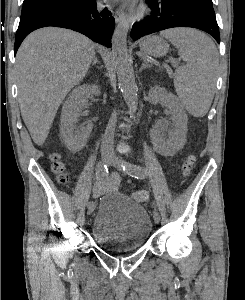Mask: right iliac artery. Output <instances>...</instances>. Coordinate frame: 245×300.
Returning <instances> with one entry per match:
<instances>
[{
    "label": "right iliac artery",
    "instance_id": "1",
    "mask_svg": "<svg viewBox=\"0 0 245 300\" xmlns=\"http://www.w3.org/2000/svg\"><path fill=\"white\" fill-rule=\"evenodd\" d=\"M108 176V168H107V164L104 163L103 161H100L97 165V169H96V177L98 180H104L105 178H107ZM96 203H94V201L89 202V205H94Z\"/></svg>",
    "mask_w": 245,
    "mask_h": 300
}]
</instances>
